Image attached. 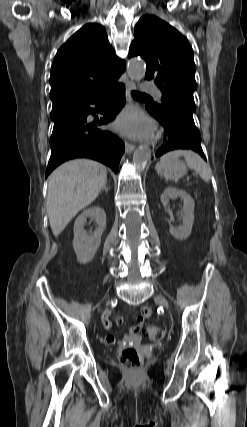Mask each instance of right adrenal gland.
Segmentation results:
<instances>
[{
	"label": "right adrenal gland",
	"mask_w": 247,
	"mask_h": 427,
	"mask_svg": "<svg viewBox=\"0 0 247 427\" xmlns=\"http://www.w3.org/2000/svg\"><path fill=\"white\" fill-rule=\"evenodd\" d=\"M102 191H109V187L107 186V183L103 186Z\"/></svg>",
	"instance_id": "1"
}]
</instances>
